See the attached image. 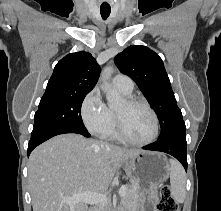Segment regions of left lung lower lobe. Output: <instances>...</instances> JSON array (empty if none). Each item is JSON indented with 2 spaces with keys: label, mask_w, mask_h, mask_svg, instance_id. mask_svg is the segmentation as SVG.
Masks as SVG:
<instances>
[{
  "label": "left lung lower lobe",
  "mask_w": 221,
  "mask_h": 211,
  "mask_svg": "<svg viewBox=\"0 0 221 211\" xmlns=\"http://www.w3.org/2000/svg\"><path fill=\"white\" fill-rule=\"evenodd\" d=\"M186 147L187 143L185 134H176L158 140L153 144L143 147V149L168 153L174 156L177 160H179L185 168V170L187 171Z\"/></svg>",
  "instance_id": "0a47b994"
}]
</instances>
